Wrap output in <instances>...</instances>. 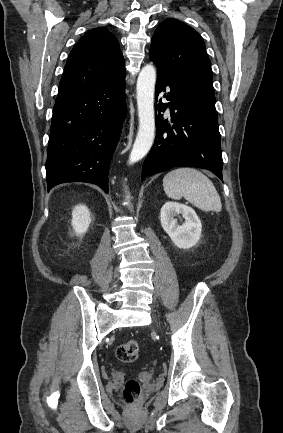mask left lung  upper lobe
Masks as SVG:
<instances>
[{"instance_id": "left-lung-upper-lobe-1", "label": "left lung upper lobe", "mask_w": 283, "mask_h": 433, "mask_svg": "<svg viewBox=\"0 0 283 433\" xmlns=\"http://www.w3.org/2000/svg\"><path fill=\"white\" fill-rule=\"evenodd\" d=\"M150 59L188 79L193 90L191 104L201 113L217 117L211 62L197 31L177 19H166L152 37Z\"/></svg>"}]
</instances>
